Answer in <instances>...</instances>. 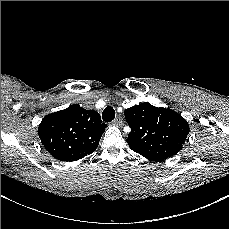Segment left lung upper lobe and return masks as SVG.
I'll use <instances>...</instances> for the list:
<instances>
[{
  "label": "left lung upper lobe",
  "instance_id": "5c2ea615",
  "mask_svg": "<svg viewBox=\"0 0 229 229\" xmlns=\"http://www.w3.org/2000/svg\"><path fill=\"white\" fill-rule=\"evenodd\" d=\"M131 132L129 147L149 160L160 162L177 154L189 133V125L177 112L141 103L125 110Z\"/></svg>",
  "mask_w": 229,
  "mask_h": 229
}]
</instances>
